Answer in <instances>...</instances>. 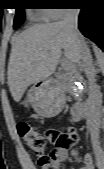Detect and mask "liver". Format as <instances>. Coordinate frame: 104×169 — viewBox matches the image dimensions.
I'll return each mask as SVG.
<instances>
[{
	"instance_id": "liver-1",
	"label": "liver",
	"mask_w": 104,
	"mask_h": 169,
	"mask_svg": "<svg viewBox=\"0 0 104 169\" xmlns=\"http://www.w3.org/2000/svg\"><path fill=\"white\" fill-rule=\"evenodd\" d=\"M64 56L80 62L79 46L62 21L34 25L12 40L7 80L13 99L19 102L27 88L51 76Z\"/></svg>"
}]
</instances>
